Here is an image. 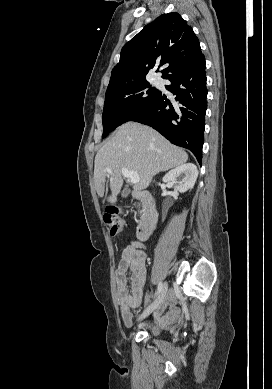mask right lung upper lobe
<instances>
[{"mask_svg":"<svg viewBox=\"0 0 272 389\" xmlns=\"http://www.w3.org/2000/svg\"><path fill=\"white\" fill-rule=\"evenodd\" d=\"M202 56L199 40L187 22L178 13L163 14L123 46L106 92L146 81L147 74L161 66L166 79Z\"/></svg>","mask_w":272,"mask_h":389,"instance_id":"cb5924a9","label":"right lung upper lobe"}]
</instances>
